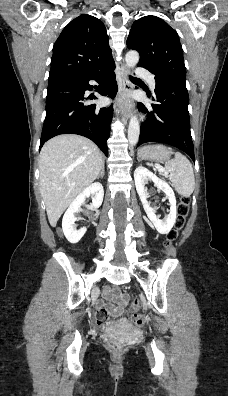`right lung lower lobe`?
Here are the masks:
<instances>
[{
	"label": "right lung lower lobe",
	"instance_id": "98d812e1",
	"mask_svg": "<svg viewBox=\"0 0 228 396\" xmlns=\"http://www.w3.org/2000/svg\"><path fill=\"white\" fill-rule=\"evenodd\" d=\"M114 68L115 62H112L85 77L62 78L48 83L40 148L56 135L72 133L91 139L107 154L106 141L110 135L113 107L86 104L84 93L93 89L89 81L95 80L101 83L98 93L113 98L118 90Z\"/></svg>",
	"mask_w": 228,
	"mask_h": 396
}]
</instances>
